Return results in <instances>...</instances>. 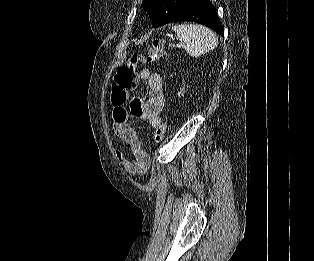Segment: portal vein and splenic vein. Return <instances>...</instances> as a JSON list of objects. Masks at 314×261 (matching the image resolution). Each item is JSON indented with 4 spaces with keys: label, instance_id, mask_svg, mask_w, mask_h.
Wrapping results in <instances>:
<instances>
[{
    "label": "portal vein and splenic vein",
    "instance_id": "portal-vein-and-splenic-vein-1",
    "mask_svg": "<svg viewBox=\"0 0 314 261\" xmlns=\"http://www.w3.org/2000/svg\"><path fill=\"white\" fill-rule=\"evenodd\" d=\"M178 46H179V47H181V46H182V44H178Z\"/></svg>",
    "mask_w": 314,
    "mask_h": 261
}]
</instances>
